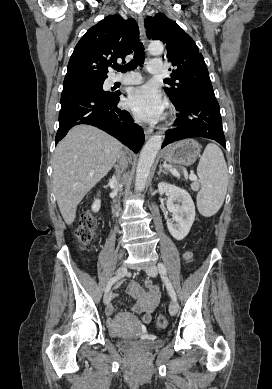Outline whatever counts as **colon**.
Instances as JSON below:
<instances>
[{"mask_svg": "<svg viewBox=\"0 0 272 389\" xmlns=\"http://www.w3.org/2000/svg\"><path fill=\"white\" fill-rule=\"evenodd\" d=\"M96 235V220L94 215L87 211L79 219L78 226L75 231V237L78 244L85 248L89 246ZM156 324L159 328H166L168 321L164 315H159L156 319Z\"/></svg>", "mask_w": 272, "mask_h": 389, "instance_id": "obj_1", "label": "colon"}]
</instances>
